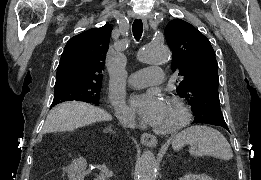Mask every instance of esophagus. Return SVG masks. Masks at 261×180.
Here are the masks:
<instances>
[{"mask_svg": "<svg viewBox=\"0 0 261 180\" xmlns=\"http://www.w3.org/2000/svg\"><path fill=\"white\" fill-rule=\"evenodd\" d=\"M140 18L143 21L145 30H148V23H147L146 17L142 15ZM141 143H143V145H147L148 147H156V145L158 143V140L151 133H142V135H141Z\"/></svg>", "mask_w": 261, "mask_h": 180, "instance_id": "1", "label": "esophagus"}]
</instances>
